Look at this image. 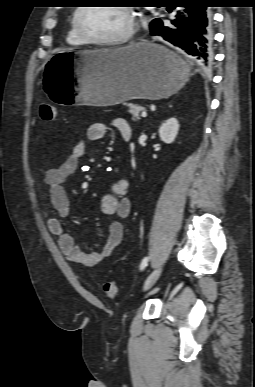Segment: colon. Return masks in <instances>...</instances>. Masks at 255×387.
Segmentation results:
<instances>
[{
  "instance_id": "colon-1",
  "label": "colon",
  "mask_w": 255,
  "mask_h": 387,
  "mask_svg": "<svg viewBox=\"0 0 255 387\" xmlns=\"http://www.w3.org/2000/svg\"><path fill=\"white\" fill-rule=\"evenodd\" d=\"M39 116L42 120H54L56 109L50 104H42L39 109ZM103 292L107 297H115L117 294V285L115 281L108 279L103 283Z\"/></svg>"
}]
</instances>
